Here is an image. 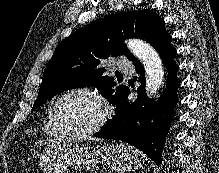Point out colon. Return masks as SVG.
I'll return each mask as SVG.
<instances>
[{
  "mask_svg": "<svg viewBox=\"0 0 219 173\" xmlns=\"http://www.w3.org/2000/svg\"><path fill=\"white\" fill-rule=\"evenodd\" d=\"M27 173H38V171L36 169H29Z\"/></svg>",
  "mask_w": 219,
  "mask_h": 173,
  "instance_id": "obj_1",
  "label": "colon"
}]
</instances>
